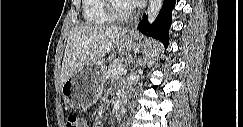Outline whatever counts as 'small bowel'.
<instances>
[{
  "instance_id": "1",
  "label": "small bowel",
  "mask_w": 243,
  "mask_h": 127,
  "mask_svg": "<svg viewBox=\"0 0 243 127\" xmlns=\"http://www.w3.org/2000/svg\"><path fill=\"white\" fill-rule=\"evenodd\" d=\"M83 126H84V127H87V126H88L87 123H86L85 121H83Z\"/></svg>"
}]
</instances>
